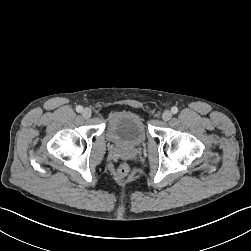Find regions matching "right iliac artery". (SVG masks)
Wrapping results in <instances>:
<instances>
[{"mask_svg":"<svg viewBox=\"0 0 251 251\" xmlns=\"http://www.w3.org/2000/svg\"><path fill=\"white\" fill-rule=\"evenodd\" d=\"M82 110H83V107L82 106H77L76 107V111L78 112V113H80V112H82Z\"/></svg>","mask_w":251,"mask_h":251,"instance_id":"1","label":"right iliac artery"}]
</instances>
